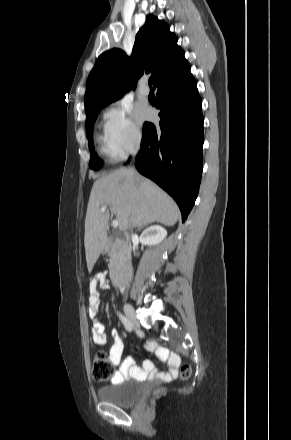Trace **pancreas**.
Segmentation results:
<instances>
[{"label":"pancreas","mask_w":291,"mask_h":440,"mask_svg":"<svg viewBox=\"0 0 291 440\" xmlns=\"http://www.w3.org/2000/svg\"><path fill=\"white\" fill-rule=\"evenodd\" d=\"M106 251L110 257L109 268L114 267L123 253V243L119 239L108 240L106 243Z\"/></svg>","instance_id":"1"}]
</instances>
